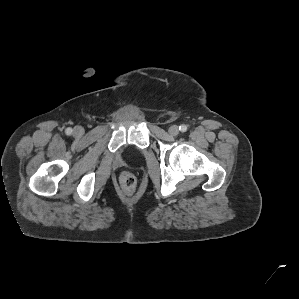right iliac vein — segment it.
Masks as SVG:
<instances>
[{"mask_svg": "<svg viewBox=\"0 0 299 299\" xmlns=\"http://www.w3.org/2000/svg\"><path fill=\"white\" fill-rule=\"evenodd\" d=\"M73 133L76 137H81L84 134V129L81 126H77L74 128Z\"/></svg>", "mask_w": 299, "mask_h": 299, "instance_id": "right-iliac-vein-1", "label": "right iliac vein"}]
</instances>
